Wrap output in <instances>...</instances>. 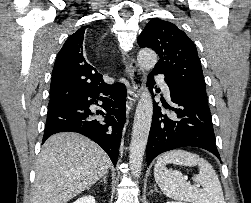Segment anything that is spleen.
I'll list each match as a JSON object with an SVG mask.
<instances>
[{"mask_svg": "<svg viewBox=\"0 0 251 203\" xmlns=\"http://www.w3.org/2000/svg\"><path fill=\"white\" fill-rule=\"evenodd\" d=\"M166 164L198 165L199 174L193 177L198 185L186 182L179 171L167 169ZM154 178L160 190L169 198L190 203H225L221 183L214 168L197 154L180 149L161 154L154 167Z\"/></svg>", "mask_w": 251, "mask_h": 203, "instance_id": "spleen-1", "label": "spleen"}]
</instances>
